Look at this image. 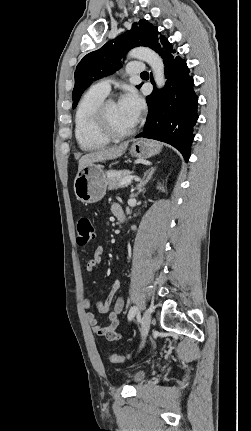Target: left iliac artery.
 I'll return each instance as SVG.
<instances>
[{"mask_svg":"<svg viewBox=\"0 0 251 431\" xmlns=\"http://www.w3.org/2000/svg\"><path fill=\"white\" fill-rule=\"evenodd\" d=\"M137 313L138 308L136 306H132L128 313V320L131 321Z\"/></svg>","mask_w":251,"mask_h":431,"instance_id":"left-iliac-artery-1","label":"left iliac artery"}]
</instances>
